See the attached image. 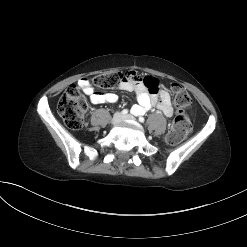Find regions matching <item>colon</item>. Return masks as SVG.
Masks as SVG:
<instances>
[{"instance_id": "obj_1", "label": "colon", "mask_w": 247, "mask_h": 247, "mask_svg": "<svg viewBox=\"0 0 247 247\" xmlns=\"http://www.w3.org/2000/svg\"><path fill=\"white\" fill-rule=\"evenodd\" d=\"M125 76L118 72L101 74L95 76L92 83L102 89H113L121 83ZM171 90L179 110L167 133L166 140L169 144L175 145L180 143L190 132L191 123L185 110L191 106L192 99L190 94L178 84H172ZM57 111L68 128L78 130L83 126L86 103L75 85L68 87L62 94Z\"/></svg>"}]
</instances>
